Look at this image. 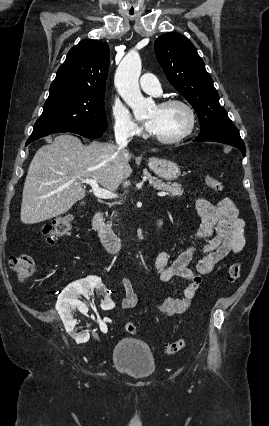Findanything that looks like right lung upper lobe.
Returning a JSON list of instances; mask_svg holds the SVG:
<instances>
[{
    "instance_id": "cb5924a9",
    "label": "right lung upper lobe",
    "mask_w": 269,
    "mask_h": 426,
    "mask_svg": "<svg viewBox=\"0 0 269 426\" xmlns=\"http://www.w3.org/2000/svg\"><path fill=\"white\" fill-rule=\"evenodd\" d=\"M109 46L97 40H82L70 49L50 86V93L69 91L105 93Z\"/></svg>"
}]
</instances>
